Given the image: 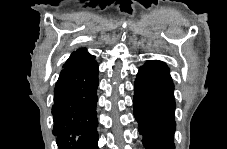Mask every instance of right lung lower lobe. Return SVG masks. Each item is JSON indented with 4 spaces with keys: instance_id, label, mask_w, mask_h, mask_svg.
<instances>
[{
    "instance_id": "right-lung-lower-lobe-1",
    "label": "right lung lower lobe",
    "mask_w": 227,
    "mask_h": 149,
    "mask_svg": "<svg viewBox=\"0 0 227 149\" xmlns=\"http://www.w3.org/2000/svg\"><path fill=\"white\" fill-rule=\"evenodd\" d=\"M98 82L94 56L61 71L52 106L53 134L59 149H98Z\"/></svg>"
}]
</instances>
